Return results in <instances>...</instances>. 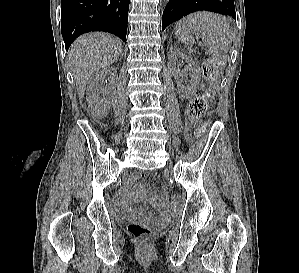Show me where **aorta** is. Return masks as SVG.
<instances>
[{
	"label": "aorta",
	"mask_w": 299,
	"mask_h": 273,
	"mask_svg": "<svg viewBox=\"0 0 299 273\" xmlns=\"http://www.w3.org/2000/svg\"><path fill=\"white\" fill-rule=\"evenodd\" d=\"M169 2V0H164V3H168Z\"/></svg>",
	"instance_id": "762f6f07"
}]
</instances>
